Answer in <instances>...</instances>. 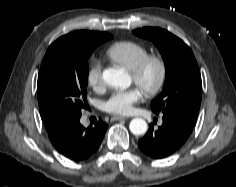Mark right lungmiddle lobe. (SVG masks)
Masks as SVG:
<instances>
[{
    "label": "right lung middle lobe",
    "instance_id": "obj_1",
    "mask_svg": "<svg viewBox=\"0 0 236 187\" xmlns=\"http://www.w3.org/2000/svg\"><path fill=\"white\" fill-rule=\"evenodd\" d=\"M113 36L81 43L57 39L48 48L38 75L37 96L44 122L70 126L85 107L88 59L93 50Z\"/></svg>",
    "mask_w": 236,
    "mask_h": 187
}]
</instances>
